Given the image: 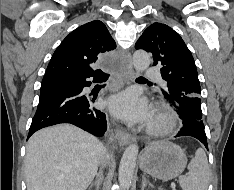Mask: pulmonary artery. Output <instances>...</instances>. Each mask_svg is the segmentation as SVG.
Wrapping results in <instances>:
<instances>
[{
	"mask_svg": "<svg viewBox=\"0 0 234 190\" xmlns=\"http://www.w3.org/2000/svg\"><path fill=\"white\" fill-rule=\"evenodd\" d=\"M145 75L148 78L160 79L159 72L154 67L145 68Z\"/></svg>",
	"mask_w": 234,
	"mask_h": 190,
	"instance_id": "pulmonary-artery-1",
	"label": "pulmonary artery"
}]
</instances>
